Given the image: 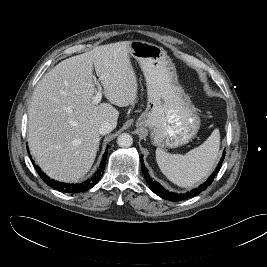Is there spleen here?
<instances>
[{
    "instance_id": "1",
    "label": "spleen",
    "mask_w": 267,
    "mask_h": 267,
    "mask_svg": "<svg viewBox=\"0 0 267 267\" xmlns=\"http://www.w3.org/2000/svg\"><path fill=\"white\" fill-rule=\"evenodd\" d=\"M220 148L219 129H215L200 146L185 155L170 154L156 149V161L161 172L174 184L189 187L206 177L212 170Z\"/></svg>"
}]
</instances>
